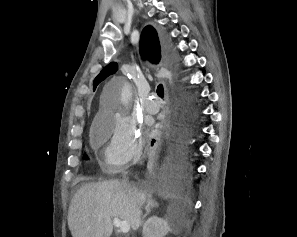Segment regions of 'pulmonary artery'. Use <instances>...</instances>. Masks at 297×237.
<instances>
[{
  "label": "pulmonary artery",
  "mask_w": 297,
  "mask_h": 237,
  "mask_svg": "<svg viewBox=\"0 0 297 237\" xmlns=\"http://www.w3.org/2000/svg\"><path fill=\"white\" fill-rule=\"evenodd\" d=\"M145 110L150 114H155L159 111L160 104L153 99V96H149L144 102Z\"/></svg>",
  "instance_id": "obj_1"
}]
</instances>
